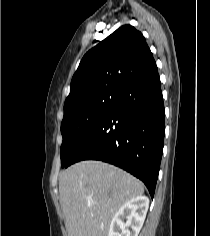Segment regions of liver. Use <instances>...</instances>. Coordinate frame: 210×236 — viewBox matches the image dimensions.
Here are the masks:
<instances>
[{"mask_svg": "<svg viewBox=\"0 0 210 236\" xmlns=\"http://www.w3.org/2000/svg\"><path fill=\"white\" fill-rule=\"evenodd\" d=\"M59 193L68 236H108L116 212L141 196L144 185L113 165L87 160L61 173Z\"/></svg>", "mask_w": 210, "mask_h": 236, "instance_id": "1", "label": "liver"}]
</instances>
